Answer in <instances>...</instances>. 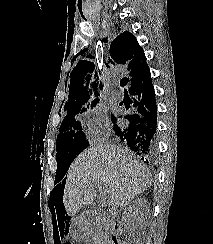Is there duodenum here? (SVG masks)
<instances>
[{"label":"duodenum","mask_w":213,"mask_h":244,"mask_svg":"<svg viewBox=\"0 0 213 244\" xmlns=\"http://www.w3.org/2000/svg\"><path fill=\"white\" fill-rule=\"evenodd\" d=\"M118 224L116 222H113L111 224V234L107 238V244H118L116 241V237L118 235Z\"/></svg>","instance_id":"obj_1"}]
</instances>
